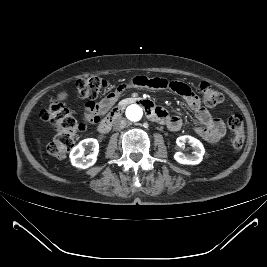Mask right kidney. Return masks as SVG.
<instances>
[{
  "label": "right kidney",
  "mask_w": 267,
  "mask_h": 267,
  "mask_svg": "<svg viewBox=\"0 0 267 267\" xmlns=\"http://www.w3.org/2000/svg\"><path fill=\"white\" fill-rule=\"evenodd\" d=\"M86 148H90L91 153L84 156ZM99 152V144L97 139L87 138L79 142L70 153V160L73 166L86 169L95 164Z\"/></svg>",
  "instance_id": "1"
}]
</instances>
